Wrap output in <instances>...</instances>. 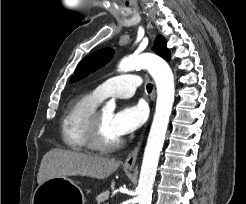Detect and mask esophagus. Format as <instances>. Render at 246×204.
Segmentation results:
<instances>
[{
	"label": "esophagus",
	"instance_id": "34e87169",
	"mask_svg": "<svg viewBox=\"0 0 246 204\" xmlns=\"http://www.w3.org/2000/svg\"><path fill=\"white\" fill-rule=\"evenodd\" d=\"M142 141H143V137L140 139V141L138 142V144L133 148V150L128 154L125 162H124V166L127 168H132L135 166L136 164V160H137V156H138V152L140 150V147L142 145Z\"/></svg>",
	"mask_w": 246,
	"mask_h": 204
}]
</instances>
